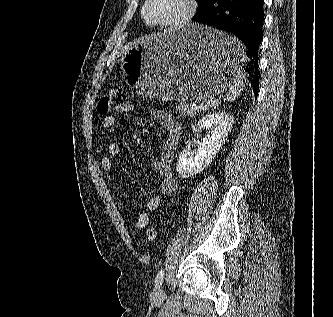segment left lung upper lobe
<instances>
[{
	"mask_svg": "<svg viewBox=\"0 0 333 317\" xmlns=\"http://www.w3.org/2000/svg\"><path fill=\"white\" fill-rule=\"evenodd\" d=\"M211 0H197L198 2V8H197V14L204 11V9L209 5Z\"/></svg>",
	"mask_w": 333,
	"mask_h": 317,
	"instance_id": "obj_1",
	"label": "left lung upper lobe"
}]
</instances>
